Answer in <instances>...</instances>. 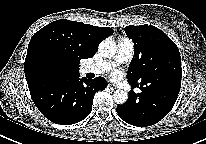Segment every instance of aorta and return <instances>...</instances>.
I'll return each instance as SVG.
<instances>
[{
	"label": "aorta",
	"instance_id": "762f6f07",
	"mask_svg": "<svg viewBox=\"0 0 206 144\" xmlns=\"http://www.w3.org/2000/svg\"><path fill=\"white\" fill-rule=\"evenodd\" d=\"M99 52L105 58L113 57L117 52L116 43L112 39H105L99 44ZM113 99L117 104H124L128 99V94L124 90H116Z\"/></svg>",
	"mask_w": 206,
	"mask_h": 144
}]
</instances>
